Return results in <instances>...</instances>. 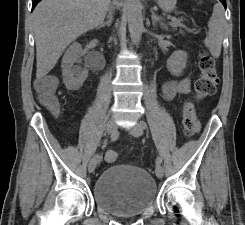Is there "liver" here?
I'll use <instances>...</instances> for the list:
<instances>
[{"label": "liver", "mask_w": 245, "mask_h": 225, "mask_svg": "<svg viewBox=\"0 0 245 225\" xmlns=\"http://www.w3.org/2000/svg\"><path fill=\"white\" fill-rule=\"evenodd\" d=\"M110 0H42L33 12L36 42V78L56 65L66 47L83 33L99 26Z\"/></svg>", "instance_id": "1"}]
</instances>
